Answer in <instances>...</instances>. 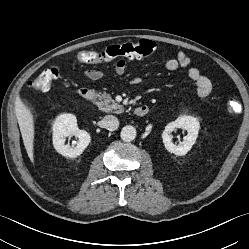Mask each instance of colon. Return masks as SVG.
<instances>
[{
    "mask_svg": "<svg viewBox=\"0 0 249 249\" xmlns=\"http://www.w3.org/2000/svg\"><path fill=\"white\" fill-rule=\"evenodd\" d=\"M158 46L151 40H140L118 45H112L106 49L96 52L82 50L76 54V59L82 64L108 63L118 58L140 59L153 55ZM58 77L55 68L42 71L29 82L32 89L39 92H47L51 89L53 82ZM241 111V103L236 97H230L226 102V112L230 116L237 115Z\"/></svg>",
    "mask_w": 249,
    "mask_h": 249,
    "instance_id": "5ec220e1",
    "label": "colon"
}]
</instances>
